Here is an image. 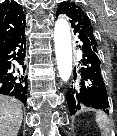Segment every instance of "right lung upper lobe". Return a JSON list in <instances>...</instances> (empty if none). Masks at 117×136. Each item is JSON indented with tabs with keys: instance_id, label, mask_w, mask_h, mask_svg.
I'll return each mask as SVG.
<instances>
[{
	"instance_id": "cb5924a9",
	"label": "right lung upper lobe",
	"mask_w": 117,
	"mask_h": 136,
	"mask_svg": "<svg viewBox=\"0 0 117 136\" xmlns=\"http://www.w3.org/2000/svg\"><path fill=\"white\" fill-rule=\"evenodd\" d=\"M22 7L15 1L0 5V46L24 23Z\"/></svg>"
}]
</instances>
